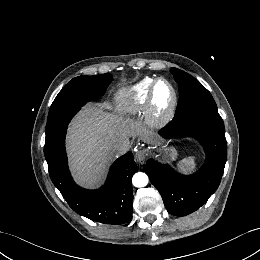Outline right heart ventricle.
<instances>
[{
  "instance_id": "1",
  "label": "right heart ventricle",
  "mask_w": 260,
  "mask_h": 260,
  "mask_svg": "<svg viewBox=\"0 0 260 260\" xmlns=\"http://www.w3.org/2000/svg\"><path fill=\"white\" fill-rule=\"evenodd\" d=\"M154 80V78L146 77L130 87L119 90L115 96L118 110L127 115L141 113Z\"/></svg>"
}]
</instances>
